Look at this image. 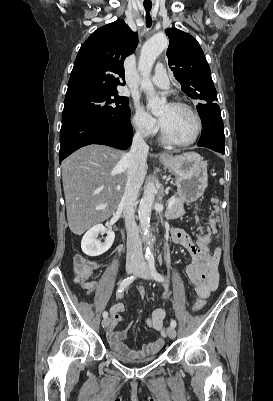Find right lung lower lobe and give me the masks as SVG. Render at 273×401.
<instances>
[{
    "mask_svg": "<svg viewBox=\"0 0 273 401\" xmlns=\"http://www.w3.org/2000/svg\"><path fill=\"white\" fill-rule=\"evenodd\" d=\"M132 127L88 118L62 123L59 161L90 144H102L125 150L131 144Z\"/></svg>",
    "mask_w": 273,
    "mask_h": 401,
    "instance_id": "right-lung-lower-lobe-1",
    "label": "right lung lower lobe"
}]
</instances>
